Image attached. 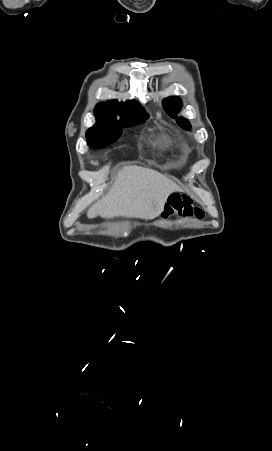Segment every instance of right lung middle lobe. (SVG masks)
<instances>
[{
  "label": "right lung middle lobe",
  "mask_w": 272,
  "mask_h": 451,
  "mask_svg": "<svg viewBox=\"0 0 272 451\" xmlns=\"http://www.w3.org/2000/svg\"><path fill=\"white\" fill-rule=\"evenodd\" d=\"M121 114V120H116V115ZM96 124L86 132V139L91 148H103L115 142L122 134V128L131 127L143 123L148 115L142 108L124 113H97Z\"/></svg>",
  "instance_id": "1"
}]
</instances>
